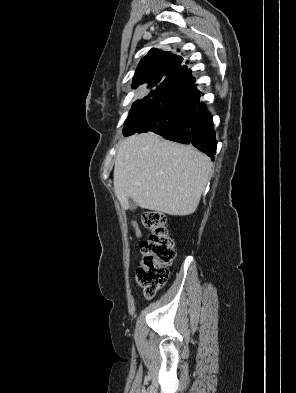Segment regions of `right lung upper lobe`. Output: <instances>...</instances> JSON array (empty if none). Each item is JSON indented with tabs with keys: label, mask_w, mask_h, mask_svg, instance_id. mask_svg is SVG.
Wrapping results in <instances>:
<instances>
[{
	"label": "right lung upper lobe",
	"mask_w": 296,
	"mask_h": 393,
	"mask_svg": "<svg viewBox=\"0 0 296 393\" xmlns=\"http://www.w3.org/2000/svg\"><path fill=\"white\" fill-rule=\"evenodd\" d=\"M183 58L174 55L171 52H165L159 49H151L148 54L140 61L134 77L133 88L140 84L151 82L158 79H165L177 72L179 69L186 67L180 66Z\"/></svg>",
	"instance_id": "cb5924a9"
}]
</instances>
